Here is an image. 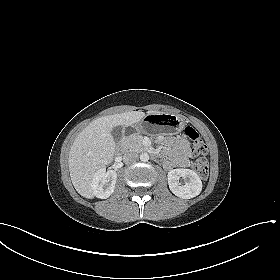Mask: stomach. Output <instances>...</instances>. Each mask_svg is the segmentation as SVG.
Listing matches in <instances>:
<instances>
[{"label":"stomach","instance_id":"obj_1","mask_svg":"<svg viewBox=\"0 0 280 280\" xmlns=\"http://www.w3.org/2000/svg\"><path fill=\"white\" fill-rule=\"evenodd\" d=\"M184 126L185 123L181 117L168 113H159L145 116L141 121L134 124L133 128L137 132L152 133L156 130H162L169 134H177L182 131Z\"/></svg>","mask_w":280,"mask_h":280}]
</instances>
